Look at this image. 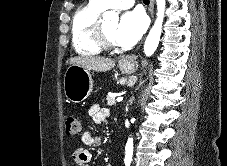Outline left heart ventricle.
Here are the masks:
<instances>
[{"instance_id":"obj_1","label":"left heart ventricle","mask_w":227,"mask_h":166,"mask_svg":"<svg viewBox=\"0 0 227 166\" xmlns=\"http://www.w3.org/2000/svg\"><path fill=\"white\" fill-rule=\"evenodd\" d=\"M103 26H104V32H105V35L107 36V38L114 42L115 41L114 33H115L116 26H117V21L111 20L108 18H104Z\"/></svg>"}]
</instances>
